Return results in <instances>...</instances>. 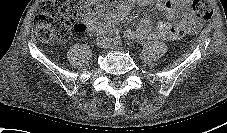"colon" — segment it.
<instances>
[{"label":"colon","mask_w":227,"mask_h":133,"mask_svg":"<svg viewBox=\"0 0 227 133\" xmlns=\"http://www.w3.org/2000/svg\"><path fill=\"white\" fill-rule=\"evenodd\" d=\"M192 7L204 21L213 15L210 0H192ZM116 7L111 2L101 4L95 0H44L35 16L36 36L46 44L64 42L71 28L83 30L85 20L92 15L115 14Z\"/></svg>","instance_id":"1"}]
</instances>
